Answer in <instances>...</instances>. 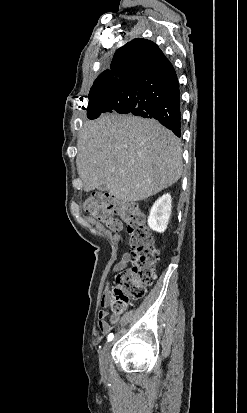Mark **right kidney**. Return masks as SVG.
I'll list each match as a JSON object with an SVG mask.
<instances>
[{
    "instance_id": "right-kidney-1",
    "label": "right kidney",
    "mask_w": 247,
    "mask_h": 413,
    "mask_svg": "<svg viewBox=\"0 0 247 413\" xmlns=\"http://www.w3.org/2000/svg\"><path fill=\"white\" fill-rule=\"evenodd\" d=\"M171 204L172 198L169 192L155 200L148 217V225L152 231H157V233L166 231L171 215Z\"/></svg>"
}]
</instances>
